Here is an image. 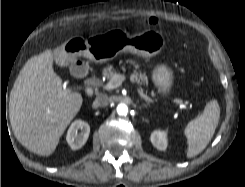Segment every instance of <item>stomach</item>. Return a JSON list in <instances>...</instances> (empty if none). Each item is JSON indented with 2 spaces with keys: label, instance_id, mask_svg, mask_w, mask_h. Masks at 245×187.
<instances>
[{
  "label": "stomach",
  "instance_id": "0dacf381",
  "mask_svg": "<svg viewBox=\"0 0 245 187\" xmlns=\"http://www.w3.org/2000/svg\"><path fill=\"white\" fill-rule=\"evenodd\" d=\"M165 44V38L159 31L146 32L130 36L121 29H112L84 39L73 37L58 47L54 52V60L60 66L67 65L77 57L83 56L95 63H103L114 59L120 53L129 52L140 57L157 55ZM172 71L165 65L157 66L152 72L154 83L162 89L163 94L170 92Z\"/></svg>",
  "mask_w": 245,
  "mask_h": 187
}]
</instances>
